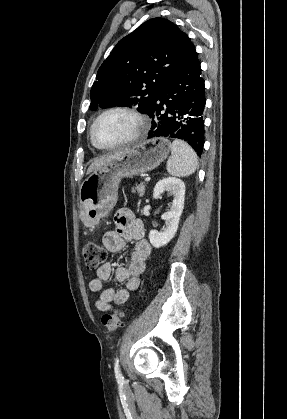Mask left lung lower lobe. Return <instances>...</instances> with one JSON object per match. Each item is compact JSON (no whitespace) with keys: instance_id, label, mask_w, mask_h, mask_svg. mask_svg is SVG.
Returning a JSON list of instances; mask_svg holds the SVG:
<instances>
[{"instance_id":"obj_1","label":"left lung lower lobe","mask_w":287,"mask_h":419,"mask_svg":"<svg viewBox=\"0 0 287 419\" xmlns=\"http://www.w3.org/2000/svg\"><path fill=\"white\" fill-rule=\"evenodd\" d=\"M205 86L198 58L158 91L148 115V139L171 137L186 141L198 155L204 145Z\"/></svg>"}]
</instances>
